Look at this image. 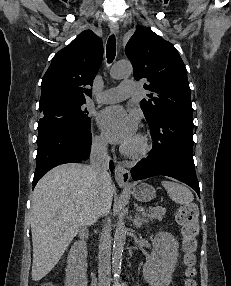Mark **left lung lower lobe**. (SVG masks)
I'll return each mask as SVG.
<instances>
[{"instance_id":"0a47b994","label":"left lung lower lobe","mask_w":231,"mask_h":286,"mask_svg":"<svg viewBox=\"0 0 231 286\" xmlns=\"http://www.w3.org/2000/svg\"><path fill=\"white\" fill-rule=\"evenodd\" d=\"M149 126L153 139L152 153L132 168L133 180L165 175L184 182L200 196L193 161L192 114L162 112Z\"/></svg>"}]
</instances>
